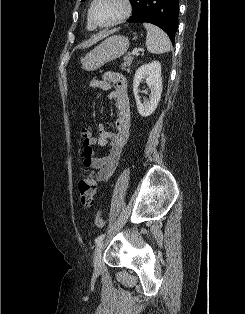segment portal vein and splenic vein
Masks as SVG:
<instances>
[{"mask_svg":"<svg viewBox=\"0 0 245 314\" xmlns=\"http://www.w3.org/2000/svg\"><path fill=\"white\" fill-rule=\"evenodd\" d=\"M138 52H139V49L137 47H135L133 50H132V55H138Z\"/></svg>","mask_w":245,"mask_h":314,"instance_id":"portal-vein-and-splenic-vein-1","label":"portal vein and splenic vein"}]
</instances>
